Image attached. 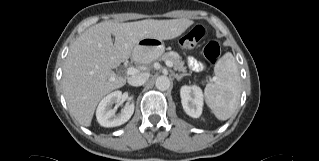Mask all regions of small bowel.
Returning <instances> with one entry per match:
<instances>
[{"mask_svg": "<svg viewBox=\"0 0 319 161\" xmlns=\"http://www.w3.org/2000/svg\"><path fill=\"white\" fill-rule=\"evenodd\" d=\"M188 65L190 68L194 70H198L202 67V63L196 59L195 57H189L188 58Z\"/></svg>", "mask_w": 319, "mask_h": 161, "instance_id": "obj_1", "label": "small bowel"}]
</instances>
